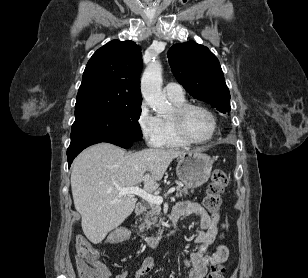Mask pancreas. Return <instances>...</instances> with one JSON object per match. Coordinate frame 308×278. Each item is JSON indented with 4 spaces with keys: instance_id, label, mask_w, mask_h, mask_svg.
Here are the masks:
<instances>
[{
    "instance_id": "pancreas-1",
    "label": "pancreas",
    "mask_w": 308,
    "mask_h": 278,
    "mask_svg": "<svg viewBox=\"0 0 308 278\" xmlns=\"http://www.w3.org/2000/svg\"><path fill=\"white\" fill-rule=\"evenodd\" d=\"M176 197H182L183 195L188 194V188L178 186L176 188ZM145 208L147 209L146 213H144L143 218H141V224L139 226L140 231H144L145 229H151L154 227H159L158 219L161 215V206L158 204L148 203Z\"/></svg>"
}]
</instances>
